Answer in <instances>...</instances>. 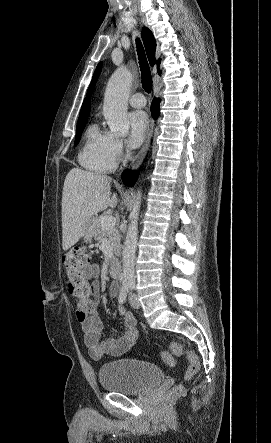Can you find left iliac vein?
Here are the masks:
<instances>
[{"instance_id":"4c4485c4","label":"left iliac vein","mask_w":271,"mask_h":443,"mask_svg":"<svg viewBox=\"0 0 271 443\" xmlns=\"http://www.w3.org/2000/svg\"><path fill=\"white\" fill-rule=\"evenodd\" d=\"M129 303L135 309L140 308V302H139V300L137 298V295L134 294V293L130 294V296H129Z\"/></svg>"}]
</instances>
